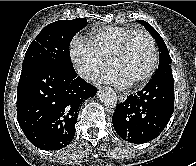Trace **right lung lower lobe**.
Returning a JSON list of instances; mask_svg holds the SVG:
<instances>
[{"mask_svg":"<svg viewBox=\"0 0 196 166\" xmlns=\"http://www.w3.org/2000/svg\"><path fill=\"white\" fill-rule=\"evenodd\" d=\"M96 88L74 69L37 64L22 69L17 87V119L28 140L43 150L72 141L79 108Z\"/></svg>","mask_w":196,"mask_h":166,"instance_id":"right-lung-lower-lobe-1","label":"right lung lower lobe"}]
</instances>
